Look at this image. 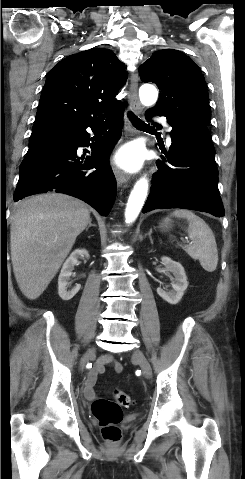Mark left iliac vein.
I'll return each mask as SVG.
<instances>
[{
	"instance_id": "1",
	"label": "left iliac vein",
	"mask_w": 245,
	"mask_h": 479,
	"mask_svg": "<svg viewBox=\"0 0 245 479\" xmlns=\"http://www.w3.org/2000/svg\"><path fill=\"white\" fill-rule=\"evenodd\" d=\"M133 360L141 367L144 376L146 378H150L152 374V369L150 363L148 362L147 358L141 350L136 349L133 352Z\"/></svg>"
}]
</instances>
